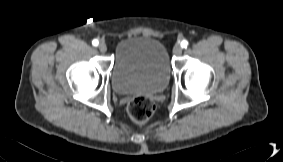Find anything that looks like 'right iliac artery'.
<instances>
[{"mask_svg": "<svg viewBox=\"0 0 283 162\" xmlns=\"http://www.w3.org/2000/svg\"><path fill=\"white\" fill-rule=\"evenodd\" d=\"M92 44H93V46H97V45L99 44V42H98V40L94 39V40L92 41Z\"/></svg>", "mask_w": 283, "mask_h": 162, "instance_id": "1", "label": "right iliac artery"}]
</instances>
